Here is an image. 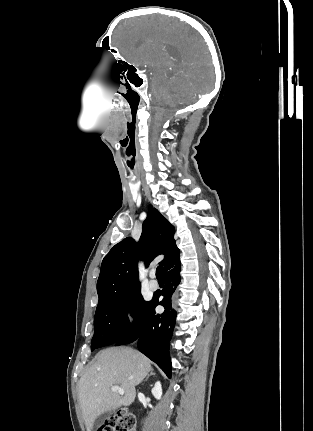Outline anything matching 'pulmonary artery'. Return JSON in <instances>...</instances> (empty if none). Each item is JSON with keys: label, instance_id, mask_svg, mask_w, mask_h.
<instances>
[{"label": "pulmonary artery", "instance_id": "pulmonary-artery-1", "mask_svg": "<svg viewBox=\"0 0 313 431\" xmlns=\"http://www.w3.org/2000/svg\"><path fill=\"white\" fill-rule=\"evenodd\" d=\"M151 277H154V273H151ZM148 286L151 290H157L159 287L158 282L154 279L150 280Z\"/></svg>", "mask_w": 313, "mask_h": 431}]
</instances>
